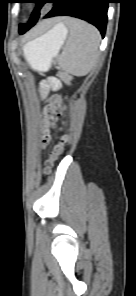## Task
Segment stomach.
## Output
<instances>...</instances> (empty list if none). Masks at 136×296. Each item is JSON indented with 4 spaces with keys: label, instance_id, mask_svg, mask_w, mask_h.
I'll return each instance as SVG.
<instances>
[{
    "label": "stomach",
    "instance_id": "stomach-1",
    "mask_svg": "<svg viewBox=\"0 0 136 296\" xmlns=\"http://www.w3.org/2000/svg\"><path fill=\"white\" fill-rule=\"evenodd\" d=\"M67 31L60 23L45 34L23 45V53L32 68L46 71L66 39Z\"/></svg>",
    "mask_w": 136,
    "mask_h": 296
}]
</instances>
